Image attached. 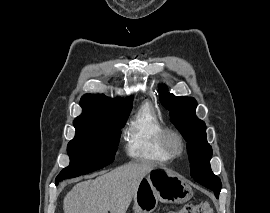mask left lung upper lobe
I'll return each mask as SVG.
<instances>
[{"mask_svg": "<svg viewBox=\"0 0 270 213\" xmlns=\"http://www.w3.org/2000/svg\"><path fill=\"white\" fill-rule=\"evenodd\" d=\"M161 103L170 111L171 122L187 141L191 176L219 196L221 181L210 167L212 148L206 140V125L195 115L197 102L192 97H176L160 86Z\"/></svg>", "mask_w": 270, "mask_h": 213, "instance_id": "1", "label": "left lung upper lobe"}]
</instances>
